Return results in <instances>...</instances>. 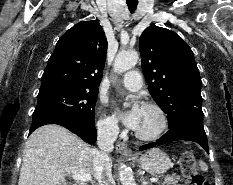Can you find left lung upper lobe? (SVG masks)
Instances as JSON below:
<instances>
[{"label": "left lung upper lobe", "instance_id": "1", "mask_svg": "<svg viewBox=\"0 0 233 185\" xmlns=\"http://www.w3.org/2000/svg\"><path fill=\"white\" fill-rule=\"evenodd\" d=\"M142 70L169 127L202 112L201 78L194 54L175 32L152 24L139 40Z\"/></svg>", "mask_w": 233, "mask_h": 185}]
</instances>
